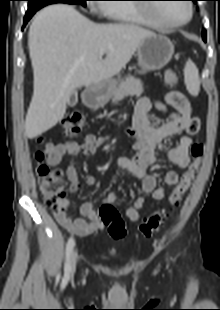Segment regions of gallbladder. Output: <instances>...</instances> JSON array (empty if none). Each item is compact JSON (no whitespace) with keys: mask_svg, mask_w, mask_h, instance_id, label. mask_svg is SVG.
I'll return each mask as SVG.
<instances>
[{"mask_svg":"<svg viewBox=\"0 0 220 310\" xmlns=\"http://www.w3.org/2000/svg\"><path fill=\"white\" fill-rule=\"evenodd\" d=\"M78 102V94L77 91H73L69 97V100L67 102V105L69 107H74Z\"/></svg>","mask_w":220,"mask_h":310,"instance_id":"1","label":"gallbladder"}]
</instances>
